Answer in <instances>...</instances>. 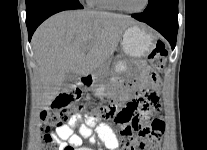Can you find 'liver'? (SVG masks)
I'll list each match as a JSON object with an SVG mask.
<instances>
[{
  "label": "liver",
  "instance_id": "1",
  "mask_svg": "<svg viewBox=\"0 0 207 150\" xmlns=\"http://www.w3.org/2000/svg\"><path fill=\"white\" fill-rule=\"evenodd\" d=\"M137 22L125 15L91 10L63 11L39 26L32 38L37 63V98L46 109L67 73L87 76L115 52L124 31Z\"/></svg>",
  "mask_w": 207,
  "mask_h": 150
}]
</instances>
